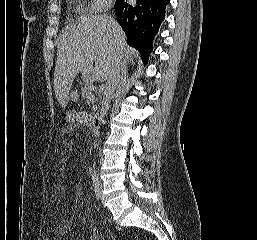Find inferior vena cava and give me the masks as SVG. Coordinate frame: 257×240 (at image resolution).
Instances as JSON below:
<instances>
[{
    "label": "inferior vena cava",
    "mask_w": 257,
    "mask_h": 240,
    "mask_svg": "<svg viewBox=\"0 0 257 240\" xmlns=\"http://www.w3.org/2000/svg\"><path fill=\"white\" fill-rule=\"evenodd\" d=\"M114 31V27L112 26ZM115 54L113 58L112 68L108 75L106 84L104 86V97H103V106L105 114L109 110L110 107V100L113 96V93L118 85L119 77H120V70L122 66V55L118 41L115 40Z\"/></svg>",
    "instance_id": "602c4592"
}]
</instances>
